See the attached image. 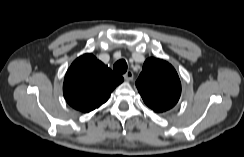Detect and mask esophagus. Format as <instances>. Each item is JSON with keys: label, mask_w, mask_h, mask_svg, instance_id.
Wrapping results in <instances>:
<instances>
[{"label": "esophagus", "mask_w": 244, "mask_h": 157, "mask_svg": "<svg viewBox=\"0 0 244 157\" xmlns=\"http://www.w3.org/2000/svg\"><path fill=\"white\" fill-rule=\"evenodd\" d=\"M123 77L126 81H131L134 78V74L131 70H129L123 75Z\"/></svg>", "instance_id": "1"}]
</instances>
